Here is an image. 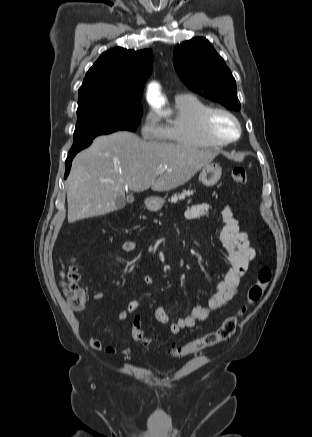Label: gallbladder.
Returning a JSON list of instances; mask_svg holds the SVG:
<instances>
[{"mask_svg": "<svg viewBox=\"0 0 312 437\" xmlns=\"http://www.w3.org/2000/svg\"><path fill=\"white\" fill-rule=\"evenodd\" d=\"M133 200H134V198H133L132 195L127 197V202L131 203V202H133ZM125 203H126L125 198H121V197L117 198L116 199V207H117V209L123 208L125 206Z\"/></svg>", "mask_w": 312, "mask_h": 437, "instance_id": "bac80fb5", "label": "gallbladder"}]
</instances>
